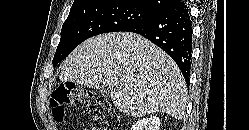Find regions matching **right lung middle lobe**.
<instances>
[{"label":"right lung middle lobe","mask_w":249,"mask_h":130,"mask_svg":"<svg viewBox=\"0 0 249 130\" xmlns=\"http://www.w3.org/2000/svg\"><path fill=\"white\" fill-rule=\"evenodd\" d=\"M157 13L126 1L101 0L71 8L61 30V39L53 58L55 67L84 40L98 34L124 31Z\"/></svg>","instance_id":"right-lung-middle-lobe-1"}]
</instances>
